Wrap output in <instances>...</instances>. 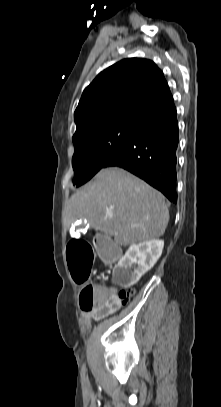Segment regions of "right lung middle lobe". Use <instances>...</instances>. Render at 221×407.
I'll return each instance as SVG.
<instances>
[{"label": "right lung middle lobe", "instance_id": "dd1d6c3e", "mask_svg": "<svg viewBox=\"0 0 221 407\" xmlns=\"http://www.w3.org/2000/svg\"><path fill=\"white\" fill-rule=\"evenodd\" d=\"M137 124L123 123L90 132L74 141L73 184L90 180L103 164L128 140Z\"/></svg>", "mask_w": 221, "mask_h": 407}]
</instances>
